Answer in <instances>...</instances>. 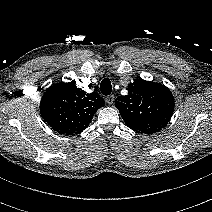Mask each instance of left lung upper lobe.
<instances>
[{"mask_svg": "<svg viewBox=\"0 0 212 212\" xmlns=\"http://www.w3.org/2000/svg\"><path fill=\"white\" fill-rule=\"evenodd\" d=\"M128 92L116 99L115 106L129 128L138 133L153 134L168 124L174 99L166 86L136 80L129 85Z\"/></svg>", "mask_w": 212, "mask_h": 212, "instance_id": "left-lung-upper-lobe-1", "label": "left lung upper lobe"}]
</instances>
